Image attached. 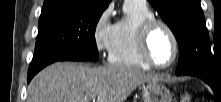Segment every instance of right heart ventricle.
<instances>
[{
  "label": "right heart ventricle",
  "instance_id": "1",
  "mask_svg": "<svg viewBox=\"0 0 221 102\" xmlns=\"http://www.w3.org/2000/svg\"><path fill=\"white\" fill-rule=\"evenodd\" d=\"M155 18L153 11L146 3L125 1L123 15L116 22L109 62L116 66L131 68H150L145 64L137 48V33L147 20Z\"/></svg>",
  "mask_w": 221,
  "mask_h": 102
}]
</instances>
